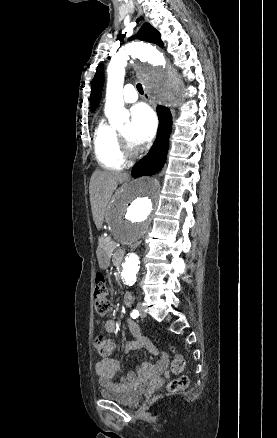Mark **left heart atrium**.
Masks as SVG:
<instances>
[{
    "mask_svg": "<svg viewBox=\"0 0 277 438\" xmlns=\"http://www.w3.org/2000/svg\"><path fill=\"white\" fill-rule=\"evenodd\" d=\"M133 127L130 140L136 148H142L150 142L156 131L157 120L153 110L146 104H139L131 109Z\"/></svg>",
    "mask_w": 277,
    "mask_h": 438,
    "instance_id": "1",
    "label": "left heart atrium"
}]
</instances>
